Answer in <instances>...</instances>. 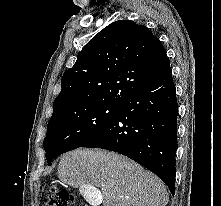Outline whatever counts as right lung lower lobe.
Wrapping results in <instances>:
<instances>
[{
  "label": "right lung lower lobe",
  "mask_w": 221,
  "mask_h": 206,
  "mask_svg": "<svg viewBox=\"0 0 221 206\" xmlns=\"http://www.w3.org/2000/svg\"><path fill=\"white\" fill-rule=\"evenodd\" d=\"M177 115L169 66L129 96L117 116L81 147L107 149L133 159L158 175L174 195Z\"/></svg>",
  "instance_id": "obj_1"
}]
</instances>
